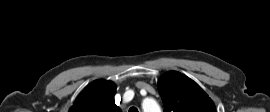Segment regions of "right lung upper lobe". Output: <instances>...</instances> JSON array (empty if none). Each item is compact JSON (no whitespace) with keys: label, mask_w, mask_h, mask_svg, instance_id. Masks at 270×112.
<instances>
[{"label":"right lung upper lobe","mask_w":270,"mask_h":112,"mask_svg":"<svg viewBox=\"0 0 270 112\" xmlns=\"http://www.w3.org/2000/svg\"><path fill=\"white\" fill-rule=\"evenodd\" d=\"M115 93L113 82L93 81L80 93L69 112H122L115 104Z\"/></svg>","instance_id":"right-lung-upper-lobe-1"}]
</instances>
